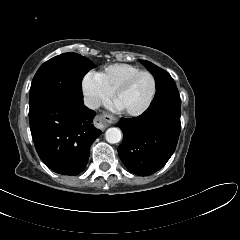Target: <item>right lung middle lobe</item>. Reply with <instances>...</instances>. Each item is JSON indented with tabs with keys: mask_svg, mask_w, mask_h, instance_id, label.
<instances>
[{
	"mask_svg": "<svg viewBox=\"0 0 240 240\" xmlns=\"http://www.w3.org/2000/svg\"><path fill=\"white\" fill-rule=\"evenodd\" d=\"M93 67L89 59L72 52L48 60L40 66L33 78L30 109L55 97L83 98L82 79Z\"/></svg>",
	"mask_w": 240,
	"mask_h": 240,
	"instance_id": "1",
	"label": "right lung middle lobe"
}]
</instances>
